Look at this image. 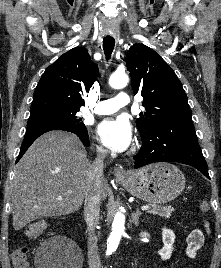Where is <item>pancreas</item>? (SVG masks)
<instances>
[{
  "instance_id": "pancreas-1",
  "label": "pancreas",
  "mask_w": 221,
  "mask_h": 268,
  "mask_svg": "<svg viewBox=\"0 0 221 268\" xmlns=\"http://www.w3.org/2000/svg\"><path fill=\"white\" fill-rule=\"evenodd\" d=\"M174 211V208L171 206H157V205H151V209L148 210V213L153 215H159L161 217L169 218L171 217L172 213Z\"/></svg>"
}]
</instances>
